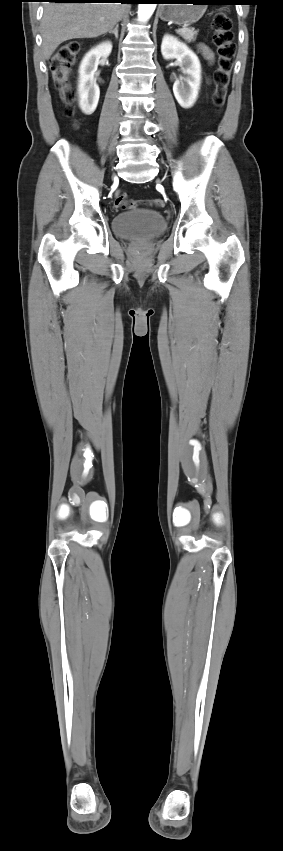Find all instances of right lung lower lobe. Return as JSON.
I'll return each mask as SVG.
<instances>
[{"mask_svg":"<svg viewBox=\"0 0 283 851\" xmlns=\"http://www.w3.org/2000/svg\"><path fill=\"white\" fill-rule=\"evenodd\" d=\"M49 2H86V3H127V4H136L142 2V0H46Z\"/></svg>","mask_w":283,"mask_h":851,"instance_id":"98d812e1","label":"right lung lower lobe"}]
</instances>
